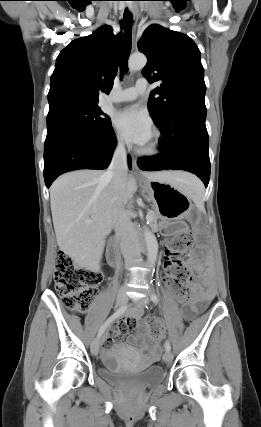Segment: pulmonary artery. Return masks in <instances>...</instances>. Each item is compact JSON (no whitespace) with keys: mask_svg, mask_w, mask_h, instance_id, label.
<instances>
[{"mask_svg":"<svg viewBox=\"0 0 261 427\" xmlns=\"http://www.w3.org/2000/svg\"><path fill=\"white\" fill-rule=\"evenodd\" d=\"M148 88V82L145 79H139L132 87L126 88L118 93L111 94L106 97L105 103L127 102L137 99Z\"/></svg>","mask_w":261,"mask_h":427,"instance_id":"pulmonary-artery-1","label":"pulmonary artery"}]
</instances>
